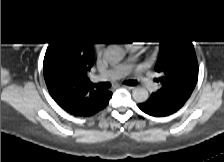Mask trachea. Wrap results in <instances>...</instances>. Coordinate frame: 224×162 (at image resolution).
<instances>
[{"label": "trachea", "mask_w": 224, "mask_h": 162, "mask_svg": "<svg viewBox=\"0 0 224 162\" xmlns=\"http://www.w3.org/2000/svg\"><path fill=\"white\" fill-rule=\"evenodd\" d=\"M124 84L134 86V85H137L138 82L135 80H128V81H125ZM92 86L98 89H107L111 87V84L109 82H102L98 84H92Z\"/></svg>", "instance_id": "1"}]
</instances>
